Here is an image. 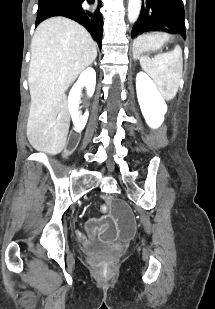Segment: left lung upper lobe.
Returning a JSON list of instances; mask_svg holds the SVG:
<instances>
[{"mask_svg": "<svg viewBox=\"0 0 215 309\" xmlns=\"http://www.w3.org/2000/svg\"><path fill=\"white\" fill-rule=\"evenodd\" d=\"M182 0H145L131 37L147 31L165 30L186 36Z\"/></svg>", "mask_w": 215, "mask_h": 309, "instance_id": "left-lung-upper-lobe-1", "label": "left lung upper lobe"}]
</instances>
